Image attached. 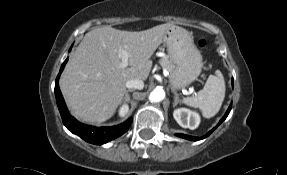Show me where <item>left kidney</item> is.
I'll use <instances>...</instances> for the list:
<instances>
[{
  "instance_id": "obj_1",
  "label": "left kidney",
  "mask_w": 287,
  "mask_h": 175,
  "mask_svg": "<svg viewBox=\"0 0 287 175\" xmlns=\"http://www.w3.org/2000/svg\"><path fill=\"white\" fill-rule=\"evenodd\" d=\"M174 119L183 128L191 130L196 129L200 123V116L197 112L187 108H178L174 110Z\"/></svg>"
}]
</instances>
